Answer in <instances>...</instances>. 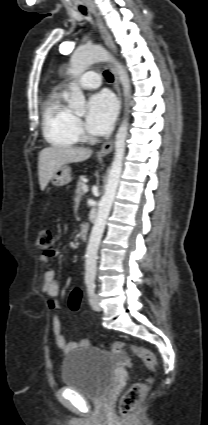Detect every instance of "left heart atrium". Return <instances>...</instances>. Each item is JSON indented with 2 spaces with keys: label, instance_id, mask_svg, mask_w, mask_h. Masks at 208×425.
Returning a JSON list of instances; mask_svg holds the SVG:
<instances>
[{
  "label": "left heart atrium",
  "instance_id": "1",
  "mask_svg": "<svg viewBox=\"0 0 208 425\" xmlns=\"http://www.w3.org/2000/svg\"><path fill=\"white\" fill-rule=\"evenodd\" d=\"M117 115V102L112 94L106 91L94 94L88 102L86 115L87 130L94 135L107 134Z\"/></svg>",
  "mask_w": 208,
  "mask_h": 425
}]
</instances>
